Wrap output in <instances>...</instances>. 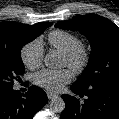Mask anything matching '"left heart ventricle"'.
I'll list each match as a JSON object with an SVG mask.
<instances>
[{
  "mask_svg": "<svg viewBox=\"0 0 119 119\" xmlns=\"http://www.w3.org/2000/svg\"><path fill=\"white\" fill-rule=\"evenodd\" d=\"M62 65H63V66H68V62H67V60L65 59V57H63Z\"/></svg>",
  "mask_w": 119,
  "mask_h": 119,
  "instance_id": "1",
  "label": "left heart ventricle"
}]
</instances>
